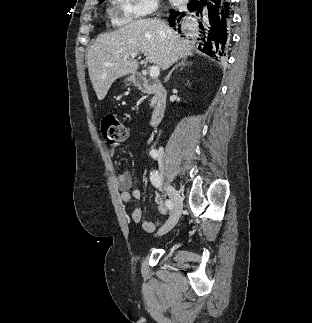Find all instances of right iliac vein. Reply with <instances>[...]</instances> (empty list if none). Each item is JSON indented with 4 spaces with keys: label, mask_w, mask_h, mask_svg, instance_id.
Segmentation results:
<instances>
[{
    "label": "right iliac vein",
    "mask_w": 312,
    "mask_h": 323,
    "mask_svg": "<svg viewBox=\"0 0 312 323\" xmlns=\"http://www.w3.org/2000/svg\"><path fill=\"white\" fill-rule=\"evenodd\" d=\"M167 192L174 208L168 221L159 230L161 235L168 233L177 224L183 209L182 198L179 192L170 184L167 185Z\"/></svg>",
    "instance_id": "obj_1"
}]
</instances>
